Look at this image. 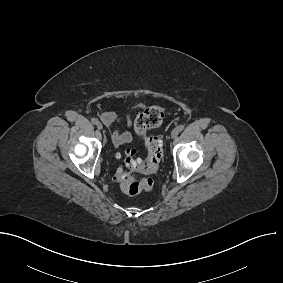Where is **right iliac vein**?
Instances as JSON below:
<instances>
[{"mask_svg": "<svg viewBox=\"0 0 283 283\" xmlns=\"http://www.w3.org/2000/svg\"><path fill=\"white\" fill-rule=\"evenodd\" d=\"M97 128H98L99 130H101V129L103 128V126H102V124H101L100 122L97 124Z\"/></svg>", "mask_w": 283, "mask_h": 283, "instance_id": "obj_1", "label": "right iliac vein"}]
</instances>
